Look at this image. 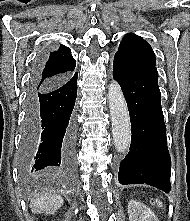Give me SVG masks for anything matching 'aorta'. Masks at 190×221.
<instances>
[{"label": "aorta", "instance_id": "obj_1", "mask_svg": "<svg viewBox=\"0 0 190 221\" xmlns=\"http://www.w3.org/2000/svg\"><path fill=\"white\" fill-rule=\"evenodd\" d=\"M112 135L118 152H125L131 142L130 117L120 85L112 81L108 88Z\"/></svg>", "mask_w": 190, "mask_h": 221}]
</instances>
